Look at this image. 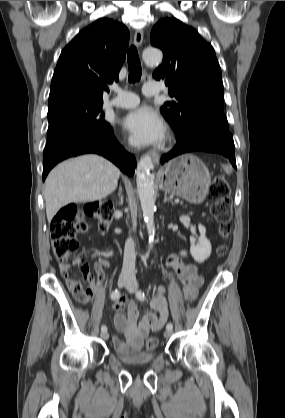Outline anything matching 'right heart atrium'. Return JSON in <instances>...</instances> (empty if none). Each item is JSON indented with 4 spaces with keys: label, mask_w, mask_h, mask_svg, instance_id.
<instances>
[{
    "label": "right heart atrium",
    "mask_w": 285,
    "mask_h": 418,
    "mask_svg": "<svg viewBox=\"0 0 285 418\" xmlns=\"http://www.w3.org/2000/svg\"><path fill=\"white\" fill-rule=\"evenodd\" d=\"M126 147H130V145L126 144Z\"/></svg>",
    "instance_id": "1"
}]
</instances>
